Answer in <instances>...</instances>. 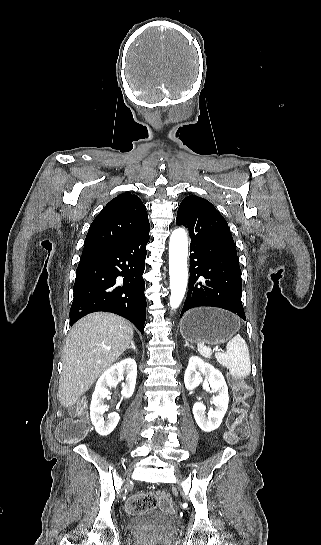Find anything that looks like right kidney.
I'll use <instances>...</instances> for the list:
<instances>
[{"label":"right kidney","mask_w":321,"mask_h":545,"mask_svg":"<svg viewBox=\"0 0 321 545\" xmlns=\"http://www.w3.org/2000/svg\"><path fill=\"white\" fill-rule=\"evenodd\" d=\"M123 375H127V377L121 395L129 399L134 393L137 377V365L134 359H130V357L123 359L120 363H115L113 367L107 369L96 383L90 405V419L101 437L110 435L119 423L118 413H110L108 421H105L104 413L108 411V407L104 405V399L109 395L107 387H116L119 381H122Z\"/></svg>","instance_id":"obj_1"}]
</instances>
